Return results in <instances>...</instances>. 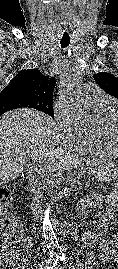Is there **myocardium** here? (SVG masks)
Masks as SVG:
<instances>
[{
  "label": "myocardium",
  "mask_w": 118,
  "mask_h": 269,
  "mask_svg": "<svg viewBox=\"0 0 118 269\" xmlns=\"http://www.w3.org/2000/svg\"><path fill=\"white\" fill-rule=\"evenodd\" d=\"M116 119H118V110H111L101 115L100 121L104 124L105 129L104 131L98 132L96 135L106 142L118 155V141L114 140L109 133V129Z\"/></svg>",
  "instance_id": "myocardium-1"
}]
</instances>
